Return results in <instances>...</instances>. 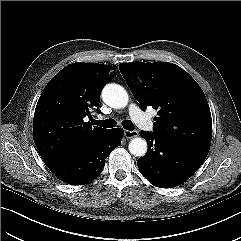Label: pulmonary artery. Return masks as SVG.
<instances>
[{
	"mask_svg": "<svg viewBox=\"0 0 241 241\" xmlns=\"http://www.w3.org/2000/svg\"><path fill=\"white\" fill-rule=\"evenodd\" d=\"M129 114L139 127L145 130L152 129L153 124L151 120L140 110V108L137 105L131 104L129 106Z\"/></svg>",
	"mask_w": 241,
	"mask_h": 241,
	"instance_id": "1",
	"label": "pulmonary artery"
}]
</instances>
